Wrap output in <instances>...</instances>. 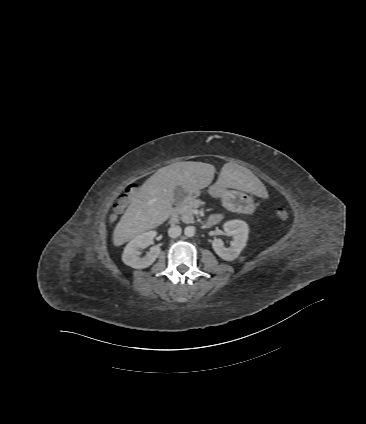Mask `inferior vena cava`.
Here are the masks:
<instances>
[{
	"label": "inferior vena cava",
	"instance_id": "602c4592",
	"mask_svg": "<svg viewBox=\"0 0 366 424\" xmlns=\"http://www.w3.org/2000/svg\"><path fill=\"white\" fill-rule=\"evenodd\" d=\"M181 232H182V229L180 226L173 225L169 228L168 235L171 238H177L178 236H180Z\"/></svg>",
	"mask_w": 366,
	"mask_h": 424
}]
</instances>
